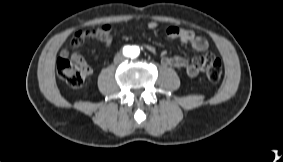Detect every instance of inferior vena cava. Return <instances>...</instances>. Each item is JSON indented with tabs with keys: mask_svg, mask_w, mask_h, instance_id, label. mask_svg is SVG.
<instances>
[{
	"mask_svg": "<svg viewBox=\"0 0 283 162\" xmlns=\"http://www.w3.org/2000/svg\"><path fill=\"white\" fill-rule=\"evenodd\" d=\"M125 59H126L125 56L123 54L119 53L114 57V63L119 64V63L123 62Z\"/></svg>",
	"mask_w": 283,
	"mask_h": 162,
	"instance_id": "602c4592",
	"label": "inferior vena cava"
}]
</instances>
